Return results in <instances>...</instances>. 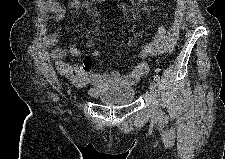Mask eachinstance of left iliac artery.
<instances>
[{"label":"left iliac artery","mask_w":225,"mask_h":159,"mask_svg":"<svg viewBox=\"0 0 225 159\" xmlns=\"http://www.w3.org/2000/svg\"><path fill=\"white\" fill-rule=\"evenodd\" d=\"M161 79H160V76L158 74H156L154 76V82L158 85L160 83Z\"/></svg>","instance_id":"obj_1"}]
</instances>
